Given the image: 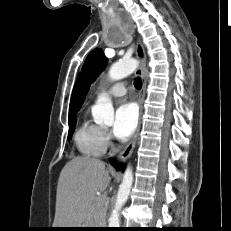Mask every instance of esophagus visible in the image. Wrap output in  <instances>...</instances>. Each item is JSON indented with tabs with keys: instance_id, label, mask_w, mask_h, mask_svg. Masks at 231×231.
<instances>
[{
	"instance_id": "1",
	"label": "esophagus",
	"mask_w": 231,
	"mask_h": 231,
	"mask_svg": "<svg viewBox=\"0 0 231 231\" xmlns=\"http://www.w3.org/2000/svg\"><path fill=\"white\" fill-rule=\"evenodd\" d=\"M135 52H136V57L138 59V67L136 69V75L140 76L142 78L143 84H142V88L139 92V120H138V125H137V129L135 131V134L133 135L132 139L129 141V143L126 145V147L118 154V156L116 157V159L118 161H125L133 152L136 141H137V137L139 135L140 132V128H141V118H142V114H143V102H144V98H145V91H146V79H145V70H146V53H145V48L141 42L140 39L137 40L136 42V48H135Z\"/></svg>"
}]
</instances>
